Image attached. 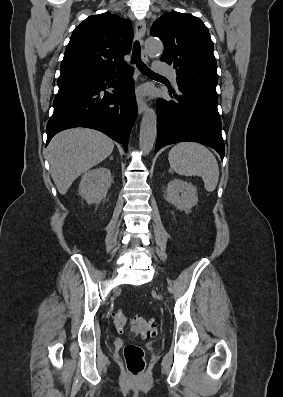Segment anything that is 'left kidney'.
I'll use <instances>...</instances> for the list:
<instances>
[{
    "label": "left kidney",
    "instance_id": "1",
    "mask_svg": "<svg viewBox=\"0 0 283 397\" xmlns=\"http://www.w3.org/2000/svg\"><path fill=\"white\" fill-rule=\"evenodd\" d=\"M165 199L177 209L188 213L198 202L197 188L189 182L174 179L167 185Z\"/></svg>",
    "mask_w": 283,
    "mask_h": 397
}]
</instances>
